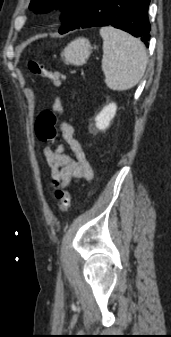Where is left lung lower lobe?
<instances>
[{
  "instance_id": "0a47b994",
  "label": "left lung lower lobe",
  "mask_w": 171,
  "mask_h": 337,
  "mask_svg": "<svg viewBox=\"0 0 171 337\" xmlns=\"http://www.w3.org/2000/svg\"><path fill=\"white\" fill-rule=\"evenodd\" d=\"M149 3L150 0H86L70 30L111 25L140 37L148 47L151 37Z\"/></svg>"
}]
</instances>
